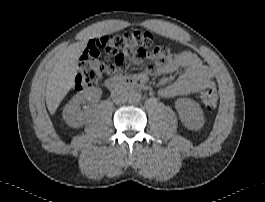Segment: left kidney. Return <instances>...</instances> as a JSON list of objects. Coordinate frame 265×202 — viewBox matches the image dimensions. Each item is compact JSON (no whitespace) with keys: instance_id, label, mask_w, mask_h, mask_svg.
Returning <instances> with one entry per match:
<instances>
[{"instance_id":"1","label":"left kidney","mask_w":265,"mask_h":202,"mask_svg":"<svg viewBox=\"0 0 265 202\" xmlns=\"http://www.w3.org/2000/svg\"><path fill=\"white\" fill-rule=\"evenodd\" d=\"M175 108L185 127L190 130H199L203 127L205 123L204 113L196 101L180 98L176 100Z\"/></svg>"}]
</instances>
